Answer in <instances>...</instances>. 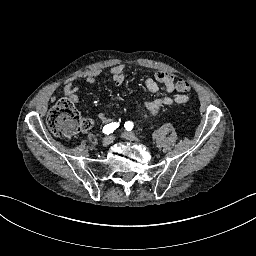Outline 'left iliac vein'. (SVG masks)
<instances>
[{"label":"left iliac vein","instance_id":"4c4485c4","mask_svg":"<svg viewBox=\"0 0 256 256\" xmlns=\"http://www.w3.org/2000/svg\"><path fill=\"white\" fill-rule=\"evenodd\" d=\"M122 137L127 140L137 141V137L131 132H127V131L123 132Z\"/></svg>","mask_w":256,"mask_h":256}]
</instances>
